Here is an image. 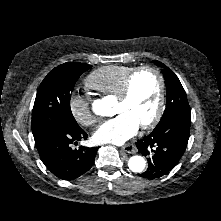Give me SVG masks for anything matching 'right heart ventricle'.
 I'll return each instance as SVG.
<instances>
[{
  "instance_id": "e07e8e85",
  "label": "right heart ventricle",
  "mask_w": 221,
  "mask_h": 221,
  "mask_svg": "<svg viewBox=\"0 0 221 221\" xmlns=\"http://www.w3.org/2000/svg\"><path fill=\"white\" fill-rule=\"evenodd\" d=\"M132 66L107 65L93 71L85 80L86 88L116 97L127 76L135 70Z\"/></svg>"
}]
</instances>
